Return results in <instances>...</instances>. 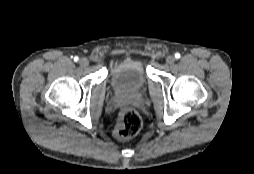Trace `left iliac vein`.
I'll return each mask as SVG.
<instances>
[{"label":"left iliac vein","instance_id":"4c4485c4","mask_svg":"<svg viewBox=\"0 0 254 174\" xmlns=\"http://www.w3.org/2000/svg\"><path fill=\"white\" fill-rule=\"evenodd\" d=\"M174 62H175V57H174L173 55L167 56V58H166V63H167L168 65H172Z\"/></svg>","mask_w":254,"mask_h":174}]
</instances>
